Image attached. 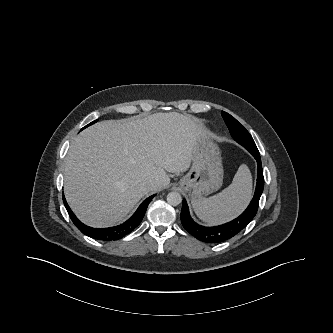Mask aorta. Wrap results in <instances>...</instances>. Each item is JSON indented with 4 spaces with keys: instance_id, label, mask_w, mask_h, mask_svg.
Here are the masks:
<instances>
[{
    "instance_id": "1",
    "label": "aorta",
    "mask_w": 333,
    "mask_h": 333,
    "mask_svg": "<svg viewBox=\"0 0 333 333\" xmlns=\"http://www.w3.org/2000/svg\"><path fill=\"white\" fill-rule=\"evenodd\" d=\"M182 197L178 192H170L167 195V202L170 205L177 206L181 203Z\"/></svg>"
}]
</instances>
